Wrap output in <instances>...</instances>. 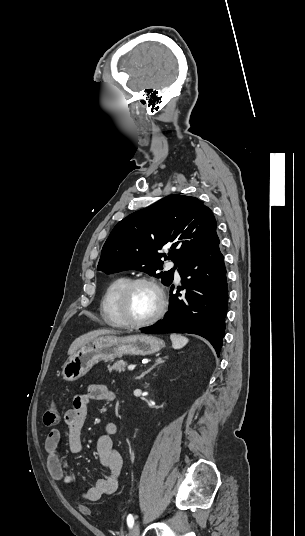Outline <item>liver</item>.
Segmentation results:
<instances>
[{
    "label": "liver",
    "instance_id": "liver-1",
    "mask_svg": "<svg viewBox=\"0 0 305 536\" xmlns=\"http://www.w3.org/2000/svg\"><path fill=\"white\" fill-rule=\"evenodd\" d=\"M104 334H116V332L115 330H94V332H88V334H84V336H79V338H76V340L72 342L68 350L69 356L75 354L76 350H79V348L88 344L90 340H94V338H98V336H104Z\"/></svg>",
    "mask_w": 305,
    "mask_h": 536
}]
</instances>
